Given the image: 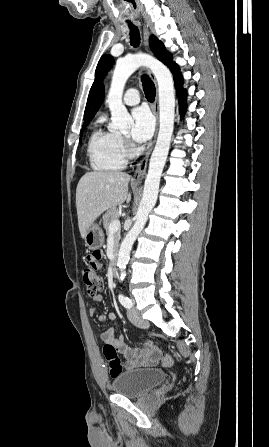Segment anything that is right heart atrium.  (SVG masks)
<instances>
[{
    "label": "right heart atrium",
    "mask_w": 269,
    "mask_h": 447,
    "mask_svg": "<svg viewBox=\"0 0 269 447\" xmlns=\"http://www.w3.org/2000/svg\"><path fill=\"white\" fill-rule=\"evenodd\" d=\"M121 139H122V145H123V149H124L125 153L129 154L132 150L130 142L126 138L121 137Z\"/></svg>",
    "instance_id": "d8ad5b80"
}]
</instances>
